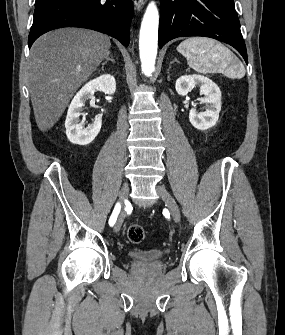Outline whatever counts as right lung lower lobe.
Listing matches in <instances>:
<instances>
[{
  "mask_svg": "<svg viewBox=\"0 0 285 335\" xmlns=\"http://www.w3.org/2000/svg\"><path fill=\"white\" fill-rule=\"evenodd\" d=\"M131 0H36L28 45L42 34L63 27H84L108 34L129 45Z\"/></svg>",
  "mask_w": 285,
  "mask_h": 335,
  "instance_id": "1",
  "label": "right lung lower lobe"
}]
</instances>
